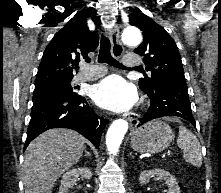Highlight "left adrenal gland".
Listing matches in <instances>:
<instances>
[{"label":"left adrenal gland","instance_id":"left-adrenal-gland-1","mask_svg":"<svg viewBox=\"0 0 221 193\" xmlns=\"http://www.w3.org/2000/svg\"><path fill=\"white\" fill-rule=\"evenodd\" d=\"M130 156H131L132 158H134V156L132 155V152H130Z\"/></svg>","mask_w":221,"mask_h":193}]
</instances>
